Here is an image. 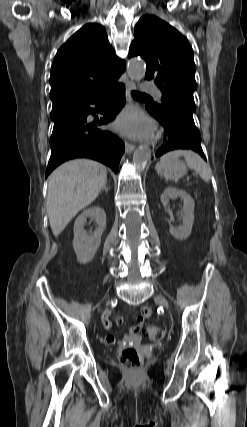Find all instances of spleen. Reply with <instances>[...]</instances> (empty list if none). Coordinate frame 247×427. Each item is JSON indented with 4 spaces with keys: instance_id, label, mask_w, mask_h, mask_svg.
Instances as JSON below:
<instances>
[{
    "instance_id": "spleen-1",
    "label": "spleen",
    "mask_w": 247,
    "mask_h": 427,
    "mask_svg": "<svg viewBox=\"0 0 247 427\" xmlns=\"http://www.w3.org/2000/svg\"><path fill=\"white\" fill-rule=\"evenodd\" d=\"M179 156H183L188 167L198 172L204 181L208 182L210 180L212 173L210 166L198 154L189 150H175L169 152L161 157L158 165L165 164Z\"/></svg>"
}]
</instances>
